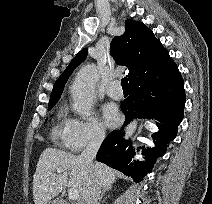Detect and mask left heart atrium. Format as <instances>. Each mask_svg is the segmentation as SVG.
Segmentation results:
<instances>
[{
	"mask_svg": "<svg viewBox=\"0 0 212 204\" xmlns=\"http://www.w3.org/2000/svg\"><path fill=\"white\" fill-rule=\"evenodd\" d=\"M102 116L104 123L109 127H114L120 120V114L114 104H106L102 108Z\"/></svg>",
	"mask_w": 212,
	"mask_h": 204,
	"instance_id": "obj_1",
	"label": "left heart atrium"
}]
</instances>
